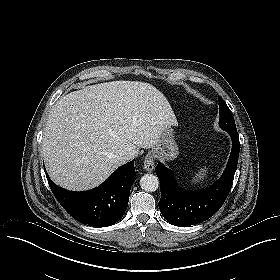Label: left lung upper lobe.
<instances>
[{"label": "left lung upper lobe", "mask_w": 280, "mask_h": 280, "mask_svg": "<svg viewBox=\"0 0 280 280\" xmlns=\"http://www.w3.org/2000/svg\"><path fill=\"white\" fill-rule=\"evenodd\" d=\"M220 120L219 126L226 131H237L234 118L226 104V102L219 97Z\"/></svg>", "instance_id": "left-lung-upper-lobe-1"}]
</instances>
